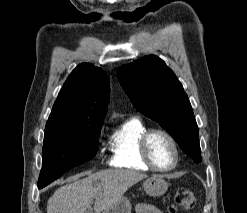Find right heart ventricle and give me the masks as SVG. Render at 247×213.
<instances>
[{"instance_id":"1","label":"right heart ventricle","mask_w":247,"mask_h":213,"mask_svg":"<svg viewBox=\"0 0 247 213\" xmlns=\"http://www.w3.org/2000/svg\"><path fill=\"white\" fill-rule=\"evenodd\" d=\"M147 130L138 118H130L118 126L108 141L110 165L134 171L151 170L142 160L139 150L140 139Z\"/></svg>"}]
</instances>
